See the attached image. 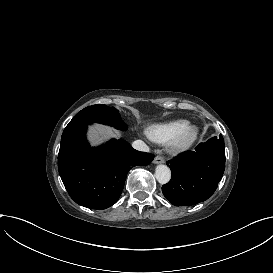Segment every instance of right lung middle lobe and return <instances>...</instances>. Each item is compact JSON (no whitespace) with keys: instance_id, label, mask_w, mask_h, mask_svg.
I'll list each match as a JSON object with an SVG mask.
<instances>
[{"instance_id":"obj_1","label":"right lung middle lobe","mask_w":273,"mask_h":273,"mask_svg":"<svg viewBox=\"0 0 273 273\" xmlns=\"http://www.w3.org/2000/svg\"><path fill=\"white\" fill-rule=\"evenodd\" d=\"M82 121L102 123L123 131L127 129V125L122 122L118 111L114 107L106 105L88 106L76 114L70 123Z\"/></svg>"}]
</instances>
